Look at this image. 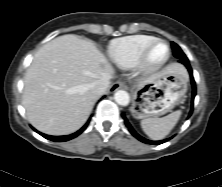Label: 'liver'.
Returning <instances> with one entry per match:
<instances>
[{
  "instance_id": "6515ba94",
  "label": "liver",
  "mask_w": 222,
  "mask_h": 187,
  "mask_svg": "<svg viewBox=\"0 0 222 187\" xmlns=\"http://www.w3.org/2000/svg\"><path fill=\"white\" fill-rule=\"evenodd\" d=\"M166 69L185 71L179 64ZM112 73L111 65L92 41L73 34L51 40L37 51L25 74L22 104L29 122L49 135L77 131L99 97L90 89L92 82Z\"/></svg>"
}]
</instances>
